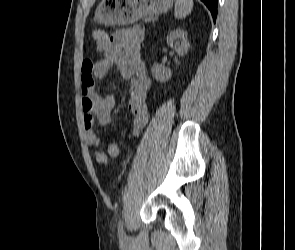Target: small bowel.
Returning a JSON list of instances; mask_svg holds the SVG:
<instances>
[{
	"mask_svg": "<svg viewBox=\"0 0 295 250\" xmlns=\"http://www.w3.org/2000/svg\"><path fill=\"white\" fill-rule=\"evenodd\" d=\"M143 38L144 33L139 27L120 29L100 48L103 52L101 59H87L83 62L81 94L86 142L89 146L101 145L96 127L109 124L110 114L116 104L114 96H102L95 90L97 81L111 69H116L123 78L130 81L127 106L132 115L131 133L137 135L148 122L147 98L151 79L140 55ZM109 152L112 155L118 153L115 143L109 144ZM102 154L101 151L96 152V158Z\"/></svg>",
	"mask_w": 295,
	"mask_h": 250,
	"instance_id": "obj_1",
	"label": "small bowel"
}]
</instances>
